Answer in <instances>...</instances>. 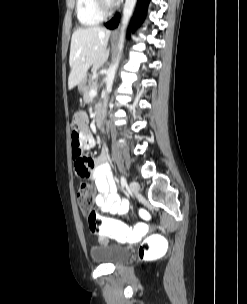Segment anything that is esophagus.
<instances>
[{"label":"esophagus","instance_id":"34e87169","mask_svg":"<svg viewBox=\"0 0 247 304\" xmlns=\"http://www.w3.org/2000/svg\"><path fill=\"white\" fill-rule=\"evenodd\" d=\"M112 35H113L114 37H116V36L118 35V30H117V29L113 30Z\"/></svg>","mask_w":247,"mask_h":304}]
</instances>
